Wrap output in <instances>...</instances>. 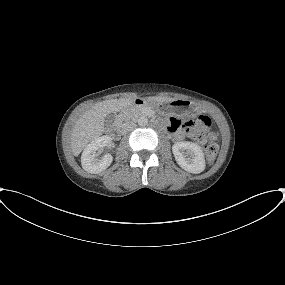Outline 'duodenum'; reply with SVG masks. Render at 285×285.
Here are the masks:
<instances>
[{"label": "duodenum", "instance_id": "1", "mask_svg": "<svg viewBox=\"0 0 285 285\" xmlns=\"http://www.w3.org/2000/svg\"><path fill=\"white\" fill-rule=\"evenodd\" d=\"M131 104L135 106H144L146 105V100L142 98H136L131 101ZM121 131V124L116 122L112 128V132L118 134Z\"/></svg>", "mask_w": 285, "mask_h": 285}]
</instances>
